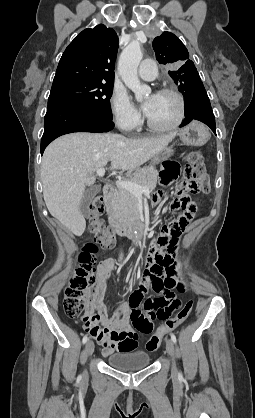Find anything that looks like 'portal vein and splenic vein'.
Returning a JSON list of instances; mask_svg holds the SVG:
<instances>
[{
    "label": "portal vein and splenic vein",
    "instance_id": "portal-vein-and-splenic-vein-1",
    "mask_svg": "<svg viewBox=\"0 0 255 418\" xmlns=\"http://www.w3.org/2000/svg\"><path fill=\"white\" fill-rule=\"evenodd\" d=\"M97 175L100 177H103L105 175V169L104 168H99L97 170ZM116 185L118 187L124 188L126 190H128L129 192H131L134 195H140L143 193H149V189L146 187H142L140 185H138L137 183L134 182H130V181H125V180H118L116 181Z\"/></svg>",
    "mask_w": 255,
    "mask_h": 418
}]
</instances>
